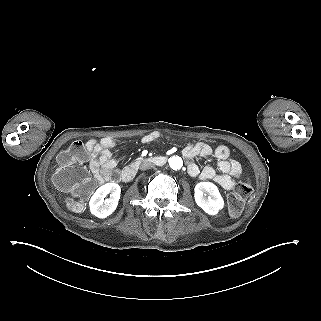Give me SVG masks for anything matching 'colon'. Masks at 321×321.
Wrapping results in <instances>:
<instances>
[{
	"label": "colon",
	"mask_w": 321,
	"mask_h": 321,
	"mask_svg": "<svg viewBox=\"0 0 321 321\" xmlns=\"http://www.w3.org/2000/svg\"><path fill=\"white\" fill-rule=\"evenodd\" d=\"M88 153L82 142H74L57 157V170L54 183L61 189L71 192L68 207L74 212H81L91 194L94 184L82 164L87 160ZM252 194V186L248 181L236 185L229 197V211L238 216L244 208V203Z\"/></svg>",
	"instance_id": "1"
}]
</instances>
